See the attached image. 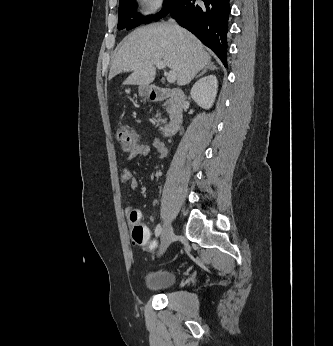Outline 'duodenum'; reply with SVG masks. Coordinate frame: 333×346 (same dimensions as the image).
<instances>
[{
  "mask_svg": "<svg viewBox=\"0 0 333 346\" xmlns=\"http://www.w3.org/2000/svg\"><path fill=\"white\" fill-rule=\"evenodd\" d=\"M149 99L153 102L168 101L169 122L162 128L165 137L174 135L180 128L184 118L185 94L181 89H168L152 86Z\"/></svg>",
  "mask_w": 333,
  "mask_h": 346,
  "instance_id": "410a0bca",
  "label": "duodenum"
}]
</instances>
